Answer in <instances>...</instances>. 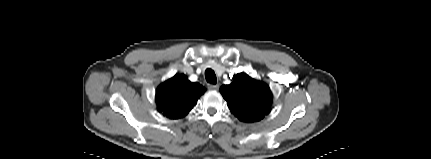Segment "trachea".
Segmentation results:
<instances>
[{"mask_svg": "<svg viewBox=\"0 0 431 159\" xmlns=\"http://www.w3.org/2000/svg\"><path fill=\"white\" fill-rule=\"evenodd\" d=\"M205 78L208 83L216 84L217 82L215 72L210 68L205 71Z\"/></svg>", "mask_w": 431, "mask_h": 159, "instance_id": "obj_1", "label": "trachea"}]
</instances>
